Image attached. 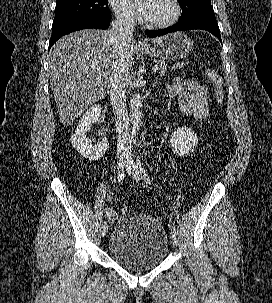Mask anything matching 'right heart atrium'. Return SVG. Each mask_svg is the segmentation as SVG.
Returning a JSON list of instances; mask_svg holds the SVG:
<instances>
[{
  "instance_id": "d8ad5b80",
  "label": "right heart atrium",
  "mask_w": 272,
  "mask_h": 303,
  "mask_svg": "<svg viewBox=\"0 0 272 303\" xmlns=\"http://www.w3.org/2000/svg\"><path fill=\"white\" fill-rule=\"evenodd\" d=\"M117 19L126 24L134 21V15L126 5L125 0H109Z\"/></svg>"
}]
</instances>
